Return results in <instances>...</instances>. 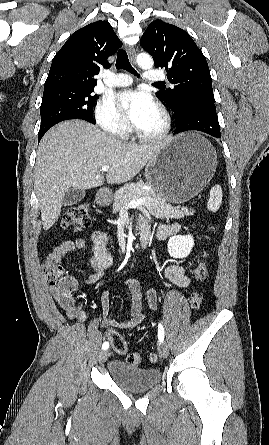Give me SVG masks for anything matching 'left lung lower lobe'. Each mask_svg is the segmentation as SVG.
<instances>
[{"label":"left lung lower lobe","mask_w":269,"mask_h":445,"mask_svg":"<svg viewBox=\"0 0 269 445\" xmlns=\"http://www.w3.org/2000/svg\"><path fill=\"white\" fill-rule=\"evenodd\" d=\"M188 130L202 131L217 138L221 136L216 107L213 102L194 101L186 105L185 114L177 121L174 134Z\"/></svg>","instance_id":"left-lung-lower-lobe-1"}]
</instances>
